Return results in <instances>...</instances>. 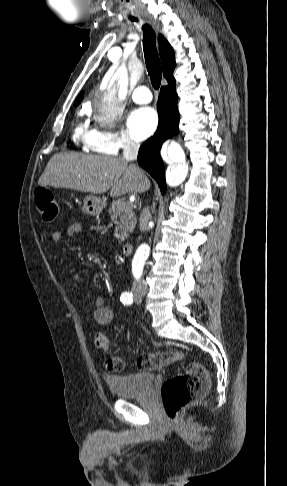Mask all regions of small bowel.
<instances>
[{"mask_svg":"<svg viewBox=\"0 0 287 486\" xmlns=\"http://www.w3.org/2000/svg\"><path fill=\"white\" fill-rule=\"evenodd\" d=\"M84 228H85V226L82 223H79V222L73 223L65 230V232L60 231V230L54 231L53 234H52V240L55 243H60L65 234L68 235V236H72V235H75V234L83 231ZM61 251H62V255H63L64 259L68 260L67 248L65 246H62ZM71 276H72V279L76 282L82 281L81 276L76 272H72ZM92 301H93V305L95 307L94 319H95L96 323L99 324V325H102V326L110 324L113 321L114 313H113V311L110 307L105 305L103 297L100 296V295H95V296H93Z\"/></svg>","mask_w":287,"mask_h":486,"instance_id":"c3829d8e","label":"small bowel"}]
</instances>
